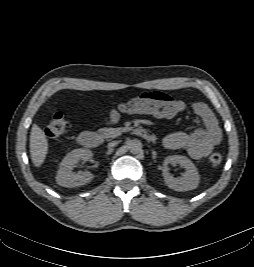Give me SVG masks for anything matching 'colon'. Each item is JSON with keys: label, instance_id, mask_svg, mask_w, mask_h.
Segmentation results:
<instances>
[{"label": "colon", "instance_id": "colon-1", "mask_svg": "<svg viewBox=\"0 0 254 267\" xmlns=\"http://www.w3.org/2000/svg\"><path fill=\"white\" fill-rule=\"evenodd\" d=\"M70 127V122L62 113L58 112L51 117L45 133L49 138H57L68 132ZM208 162L212 167H218L222 163V155L217 152L212 153L208 158Z\"/></svg>", "mask_w": 254, "mask_h": 267}]
</instances>
